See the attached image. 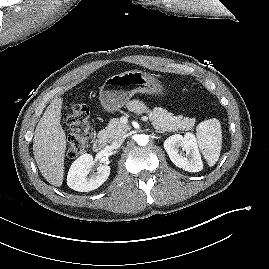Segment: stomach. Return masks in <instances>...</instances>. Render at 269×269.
<instances>
[{
	"instance_id": "obj_1",
	"label": "stomach",
	"mask_w": 269,
	"mask_h": 269,
	"mask_svg": "<svg viewBox=\"0 0 269 269\" xmlns=\"http://www.w3.org/2000/svg\"><path fill=\"white\" fill-rule=\"evenodd\" d=\"M136 93L163 96L165 88L153 75L131 70L106 79L100 90V102L107 112H114L124 107Z\"/></svg>"
}]
</instances>
